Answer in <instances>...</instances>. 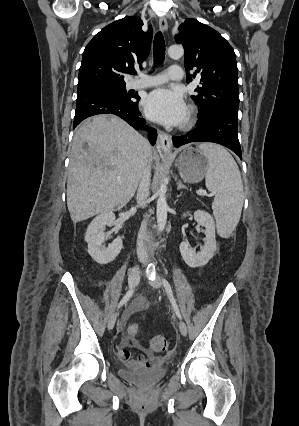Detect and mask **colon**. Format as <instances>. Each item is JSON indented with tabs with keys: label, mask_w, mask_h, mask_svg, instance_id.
<instances>
[{
	"label": "colon",
	"mask_w": 299,
	"mask_h": 426,
	"mask_svg": "<svg viewBox=\"0 0 299 426\" xmlns=\"http://www.w3.org/2000/svg\"><path fill=\"white\" fill-rule=\"evenodd\" d=\"M141 333V327L137 323L130 324L128 327V335L132 339H136ZM150 348L157 352H165L168 349V342L162 336H155L150 341Z\"/></svg>",
	"instance_id": "obj_1"
}]
</instances>
